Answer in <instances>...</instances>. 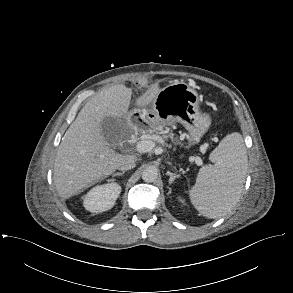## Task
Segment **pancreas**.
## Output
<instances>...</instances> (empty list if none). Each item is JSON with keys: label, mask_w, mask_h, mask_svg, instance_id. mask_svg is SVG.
<instances>
[{"label": "pancreas", "mask_w": 293, "mask_h": 293, "mask_svg": "<svg viewBox=\"0 0 293 293\" xmlns=\"http://www.w3.org/2000/svg\"><path fill=\"white\" fill-rule=\"evenodd\" d=\"M164 138H167V135H163Z\"/></svg>", "instance_id": "1"}]
</instances>
